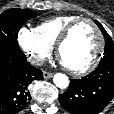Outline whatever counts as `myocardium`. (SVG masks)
Segmentation results:
<instances>
[{
	"label": "myocardium",
	"instance_id": "1",
	"mask_svg": "<svg viewBox=\"0 0 114 114\" xmlns=\"http://www.w3.org/2000/svg\"><path fill=\"white\" fill-rule=\"evenodd\" d=\"M81 22H88L93 26V28L96 31V34L98 36V39H99V45H98V48H97V51H96V54H95L94 58L85 67L76 69V68H71V67H68V66L65 65L66 68L72 74L77 75V76L88 74V73L92 72L94 69H96V67L99 65V63L101 61V58L103 56V52H104V49H105V38H104V35H103L101 29L97 25V23L91 18L79 17L76 20L69 23L66 26V28L63 30L61 35L59 36V38L56 42V54H57V56L60 57V52H61L62 46L70 38V36H71L73 30L75 29V27L78 24H80Z\"/></svg>",
	"mask_w": 114,
	"mask_h": 114
}]
</instances>
